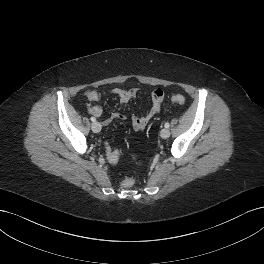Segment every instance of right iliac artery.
I'll return each mask as SVG.
<instances>
[{
    "instance_id": "82829eb1",
    "label": "right iliac artery",
    "mask_w": 264,
    "mask_h": 264,
    "mask_svg": "<svg viewBox=\"0 0 264 264\" xmlns=\"http://www.w3.org/2000/svg\"><path fill=\"white\" fill-rule=\"evenodd\" d=\"M91 121L92 122H96V118L95 117H91Z\"/></svg>"
}]
</instances>
